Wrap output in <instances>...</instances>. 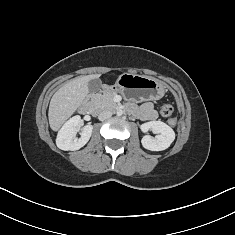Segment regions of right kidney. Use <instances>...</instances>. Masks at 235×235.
Segmentation results:
<instances>
[{
	"mask_svg": "<svg viewBox=\"0 0 235 235\" xmlns=\"http://www.w3.org/2000/svg\"><path fill=\"white\" fill-rule=\"evenodd\" d=\"M81 122L80 116H74L70 118L58 132L56 144L57 147L65 151H74L83 147L90 139L93 126L86 125L81 129L79 139L75 136L79 130V124Z\"/></svg>",
	"mask_w": 235,
	"mask_h": 235,
	"instance_id": "ca27d5eb",
	"label": "right kidney"
}]
</instances>
